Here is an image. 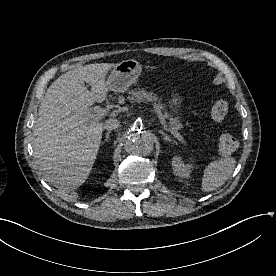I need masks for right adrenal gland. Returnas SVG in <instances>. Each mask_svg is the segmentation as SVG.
<instances>
[{
	"label": "right adrenal gland",
	"instance_id": "1",
	"mask_svg": "<svg viewBox=\"0 0 276 276\" xmlns=\"http://www.w3.org/2000/svg\"><path fill=\"white\" fill-rule=\"evenodd\" d=\"M110 133H111V131H108V132L105 134V139H104V141L101 142L102 145H103L105 142H108V141H109Z\"/></svg>",
	"mask_w": 276,
	"mask_h": 276
}]
</instances>
